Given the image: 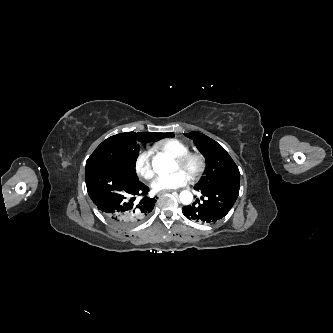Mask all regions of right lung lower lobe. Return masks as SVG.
Segmentation results:
<instances>
[{
  "label": "right lung lower lobe",
  "instance_id": "right-lung-lower-lobe-1",
  "mask_svg": "<svg viewBox=\"0 0 333 333\" xmlns=\"http://www.w3.org/2000/svg\"><path fill=\"white\" fill-rule=\"evenodd\" d=\"M88 194L114 225L127 228L144 220L153 210L156 198L147 196L149 188L129 175L105 167L85 170ZM138 196H143L137 200Z\"/></svg>",
  "mask_w": 333,
  "mask_h": 333
}]
</instances>
